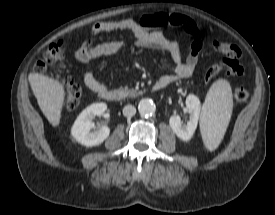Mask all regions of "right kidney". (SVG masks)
<instances>
[{"mask_svg":"<svg viewBox=\"0 0 275 215\" xmlns=\"http://www.w3.org/2000/svg\"><path fill=\"white\" fill-rule=\"evenodd\" d=\"M107 109L105 103H94L84 109L74 122L71 135L80 144L92 147L101 144L110 133L107 126H102L97 131L91 132L95 127L93 118L101 116Z\"/></svg>","mask_w":275,"mask_h":215,"instance_id":"1","label":"right kidney"}]
</instances>
